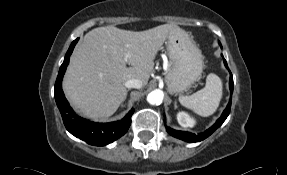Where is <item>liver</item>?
<instances>
[{
	"instance_id": "1",
	"label": "liver",
	"mask_w": 287,
	"mask_h": 175,
	"mask_svg": "<svg viewBox=\"0 0 287 175\" xmlns=\"http://www.w3.org/2000/svg\"><path fill=\"white\" fill-rule=\"evenodd\" d=\"M181 30L164 24L140 32L114 26L89 31L72 54L63 80L70 104L88 118L110 117L127 95L125 82L139 79L146 85L157 52L170 33Z\"/></svg>"
}]
</instances>
